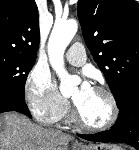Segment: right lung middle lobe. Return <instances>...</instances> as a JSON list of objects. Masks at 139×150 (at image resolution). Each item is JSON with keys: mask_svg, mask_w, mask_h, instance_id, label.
Instances as JSON below:
<instances>
[{"mask_svg": "<svg viewBox=\"0 0 139 150\" xmlns=\"http://www.w3.org/2000/svg\"><path fill=\"white\" fill-rule=\"evenodd\" d=\"M36 58L0 51V91L24 97V87Z\"/></svg>", "mask_w": 139, "mask_h": 150, "instance_id": "obj_1", "label": "right lung middle lobe"}]
</instances>
